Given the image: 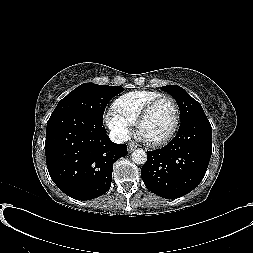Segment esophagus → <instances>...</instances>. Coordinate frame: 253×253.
<instances>
[{"mask_svg":"<svg viewBox=\"0 0 253 253\" xmlns=\"http://www.w3.org/2000/svg\"><path fill=\"white\" fill-rule=\"evenodd\" d=\"M136 149H137V145H136V144L130 143V144L128 145V152H129V153L133 152V151L136 150Z\"/></svg>","mask_w":253,"mask_h":253,"instance_id":"34e87169","label":"esophagus"}]
</instances>
